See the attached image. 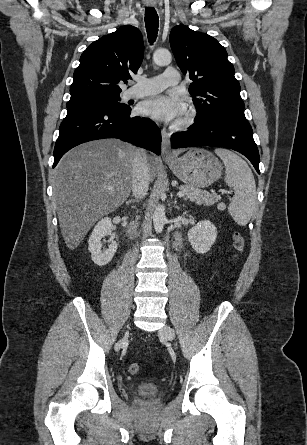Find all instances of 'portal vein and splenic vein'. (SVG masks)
<instances>
[{"label": "portal vein and splenic vein", "mask_w": 307, "mask_h": 445, "mask_svg": "<svg viewBox=\"0 0 307 445\" xmlns=\"http://www.w3.org/2000/svg\"><path fill=\"white\" fill-rule=\"evenodd\" d=\"M109 190H112V186H108ZM222 192H226V190H222ZM178 196H184V192H177Z\"/></svg>", "instance_id": "18ae733b"}]
</instances>
